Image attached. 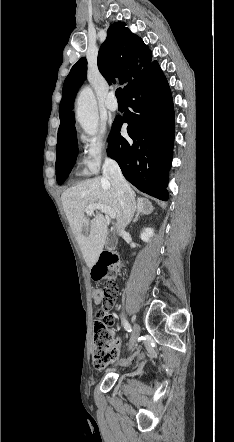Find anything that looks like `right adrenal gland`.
<instances>
[{"mask_svg":"<svg viewBox=\"0 0 234 442\" xmlns=\"http://www.w3.org/2000/svg\"><path fill=\"white\" fill-rule=\"evenodd\" d=\"M146 204H149L150 208L153 209L151 204L146 199L141 198V197L137 198V208H136L137 213H136L135 218L133 219V223H136L138 221V218L141 213L144 214L143 209Z\"/></svg>","mask_w":234,"mask_h":442,"instance_id":"2a0ac1e0","label":"right adrenal gland"}]
</instances>
